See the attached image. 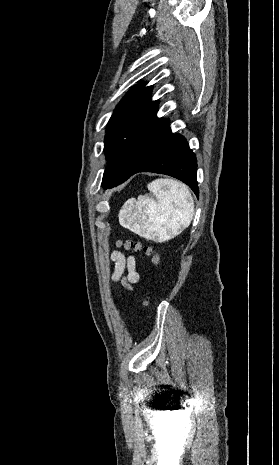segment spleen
Segmentation results:
<instances>
[{
  "label": "spleen",
  "instance_id": "obj_1",
  "mask_svg": "<svg viewBox=\"0 0 279 465\" xmlns=\"http://www.w3.org/2000/svg\"><path fill=\"white\" fill-rule=\"evenodd\" d=\"M147 187L152 197L140 195L137 200L128 199L119 212V223L146 239L170 240L193 219L191 193L183 183L172 179H156Z\"/></svg>",
  "mask_w": 279,
  "mask_h": 465
}]
</instances>
